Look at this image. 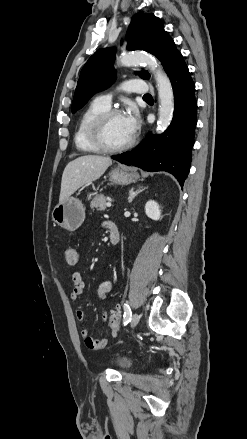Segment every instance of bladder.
Instances as JSON below:
<instances>
[{"mask_svg":"<svg viewBox=\"0 0 247 439\" xmlns=\"http://www.w3.org/2000/svg\"><path fill=\"white\" fill-rule=\"evenodd\" d=\"M113 363L121 370H128L132 367V361L127 357H115Z\"/></svg>","mask_w":247,"mask_h":439,"instance_id":"bladder-1","label":"bladder"}]
</instances>
